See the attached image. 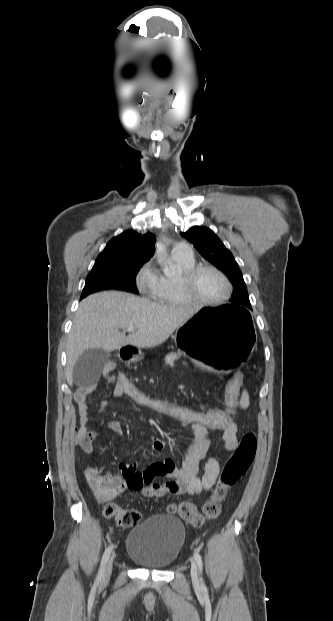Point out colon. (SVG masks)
I'll return each mask as SVG.
<instances>
[{
    "instance_id": "colon-1",
    "label": "colon",
    "mask_w": 333,
    "mask_h": 621,
    "mask_svg": "<svg viewBox=\"0 0 333 621\" xmlns=\"http://www.w3.org/2000/svg\"><path fill=\"white\" fill-rule=\"evenodd\" d=\"M115 384L122 392V396L140 407L171 417L183 425H202L207 428L221 429L236 418L243 374L241 371L232 374L225 389V403L219 408H195L158 394L146 392L124 375H118ZM256 451V436L251 432L246 433L226 462L217 487L210 499L204 503L202 511L200 512L193 503L184 501L170 505L169 513L178 514L194 527H201L206 522L218 518L228 490L246 475L254 461ZM84 475L96 499L106 504L103 509L105 518L113 520L122 527H132L141 521L142 516L138 510L120 509L111 502L118 488L116 481L91 465L86 467ZM126 485L131 487L132 480L128 479Z\"/></svg>"
}]
</instances>
